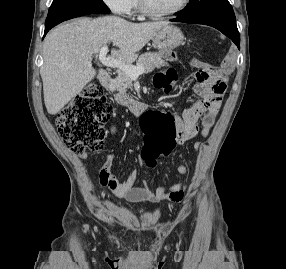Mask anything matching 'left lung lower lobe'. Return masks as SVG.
Instances as JSON below:
<instances>
[{"label": "left lung lower lobe", "mask_w": 286, "mask_h": 269, "mask_svg": "<svg viewBox=\"0 0 286 269\" xmlns=\"http://www.w3.org/2000/svg\"><path fill=\"white\" fill-rule=\"evenodd\" d=\"M171 21L183 22V23H198L212 26L224 35L228 36L240 49V35L237 29L236 20L222 19V18H197V19H182L179 16Z\"/></svg>", "instance_id": "1"}]
</instances>
